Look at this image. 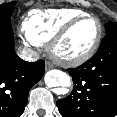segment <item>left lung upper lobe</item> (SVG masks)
I'll use <instances>...</instances> for the list:
<instances>
[{"mask_svg":"<svg viewBox=\"0 0 117 117\" xmlns=\"http://www.w3.org/2000/svg\"><path fill=\"white\" fill-rule=\"evenodd\" d=\"M115 28H117V23L114 22L107 23L105 27L106 34Z\"/></svg>","mask_w":117,"mask_h":117,"instance_id":"1","label":"left lung upper lobe"}]
</instances>
